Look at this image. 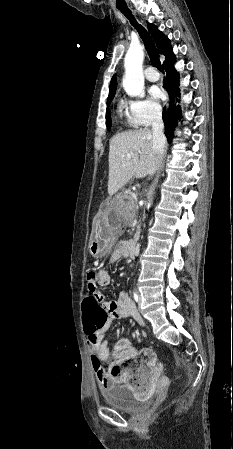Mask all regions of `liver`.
<instances>
[{
	"label": "liver",
	"mask_w": 233,
	"mask_h": 449,
	"mask_svg": "<svg viewBox=\"0 0 233 449\" xmlns=\"http://www.w3.org/2000/svg\"><path fill=\"white\" fill-rule=\"evenodd\" d=\"M153 134L144 128L115 135L109 143L108 194L114 195L132 177L143 178L155 168ZM127 154H132L127 158Z\"/></svg>",
	"instance_id": "6515ba94"
}]
</instances>
